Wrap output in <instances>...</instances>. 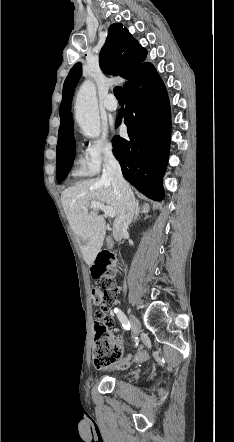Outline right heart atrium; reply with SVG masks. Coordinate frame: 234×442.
<instances>
[{
    "instance_id": "right-heart-atrium-1",
    "label": "right heart atrium",
    "mask_w": 234,
    "mask_h": 442,
    "mask_svg": "<svg viewBox=\"0 0 234 442\" xmlns=\"http://www.w3.org/2000/svg\"><path fill=\"white\" fill-rule=\"evenodd\" d=\"M115 146L106 135L90 141L85 148V155L89 165L98 172L102 165L114 157Z\"/></svg>"
}]
</instances>
